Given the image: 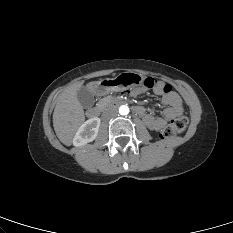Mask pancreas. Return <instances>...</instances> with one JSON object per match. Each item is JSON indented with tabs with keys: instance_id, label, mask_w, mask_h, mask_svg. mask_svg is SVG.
I'll return each instance as SVG.
<instances>
[{
	"instance_id": "obj_1",
	"label": "pancreas",
	"mask_w": 233,
	"mask_h": 233,
	"mask_svg": "<svg viewBox=\"0 0 233 233\" xmlns=\"http://www.w3.org/2000/svg\"><path fill=\"white\" fill-rule=\"evenodd\" d=\"M105 101H107V98L102 99V100L100 101V103L102 104V103H104Z\"/></svg>"
}]
</instances>
